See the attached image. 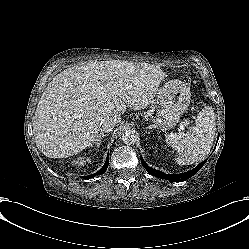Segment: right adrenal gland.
<instances>
[{"label": "right adrenal gland", "instance_id": "2a0ac1e0", "mask_svg": "<svg viewBox=\"0 0 249 249\" xmlns=\"http://www.w3.org/2000/svg\"><path fill=\"white\" fill-rule=\"evenodd\" d=\"M104 136H106V134H104V133H101V134L98 135L97 140H96V142H95V146H96L97 148H99V146H100V144H101V138L104 137Z\"/></svg>", "mask_w": 249, "mask_h": 249}]
</instances>
